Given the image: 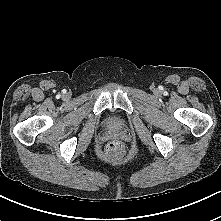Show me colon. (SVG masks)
I'll return each instance as SVG.
<instances>
[{
	"label": "colon",
	"mask_w": 221,
	"mask_h": 221,
	"mask_svg": "<svg viewBox=\"0 0 221 221\" xmlns=\"http://www.w3.org/2000/svg\"><path fill=\"white\" fill-rule=\"evenodd\" d=\"M107 153L113 157H121L125 153V147L120 141H112L107 145Z\"/></svg>",
	"instance_id": "1"
}]
</instances>
